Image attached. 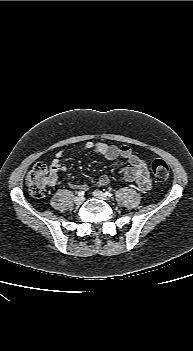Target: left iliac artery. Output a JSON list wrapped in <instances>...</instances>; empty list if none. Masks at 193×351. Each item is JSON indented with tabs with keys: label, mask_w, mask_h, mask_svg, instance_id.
Masks as SVG:
<instances>
[{
	"label": "left iliac artery",
	"mask_w": 193,
	"mask_h": 351,
	"mask_svg": "<svg viewBox=\"0 0 193 351\" xmlns=\"http://www.w3.org/2000/svg\"><path fill=\"white\" fill-rule=\"evenodd\" d=\"M105 194H106L108 197H111V196L113 195L110 191H106Z\"/></svg>",
	"instance_id": "1"
}]
</instances>
